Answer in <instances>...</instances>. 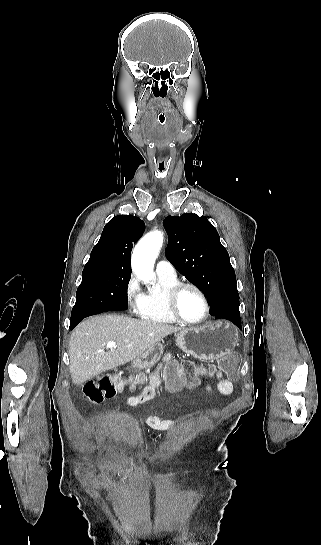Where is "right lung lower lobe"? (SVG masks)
<instances>
[{
	"instance_id": "98d812e1",
	"label": "right lung lower lobe",
	"mask_w": 321,
	"mask_h": 545,
	"mask_svg": "<svg viewBox=\"0 0 321 545\" xmlns=\"http://www.w3.org/2000/svg\"><path fill=\"white\" fill-rule=\"evenodd\" d=\"M128 309V298L117 300L109 308V311H120ZM87 315L79 316L71 319L70 329H73L80 321H82Z\"/></svg>"
}]
</instances>
